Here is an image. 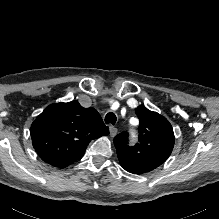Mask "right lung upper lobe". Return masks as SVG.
<instances>
[{
    "label": "right lung upper lobe",
    "instance_id": "right-lung-upper-lobe-1",
    "mask_svg": "<svg viewBox=\"0 0 219 219\" xmlns=\"http://www.w3.org/2000/svg\"><path fill=\"white\" fill-rule=\"evenodd\" d=\"M32 144L39 157L57 168L81 159L89 142L109 134L94 108L78 101L48 106L32 123Z\"/></svg>",
    "mask_w": 219,
    "mask_h": 219
}]
</instances>
